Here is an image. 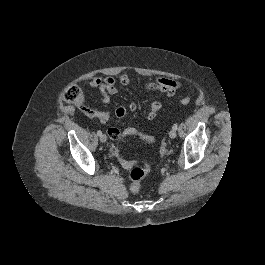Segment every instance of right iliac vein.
<instances>
[{"label":"right iliac vein","mask_w":265,"mask_h":265,"mask_svg":"<svg viewBox=\"0 0 265 265\" xmlns=\"http://www.w3.org/2000/svg\"><path fill=\"white\" fill-rule=\"evenodd\" d=\"M100 141H101L102 143H105V142L107 141V137H106V135H101V136H100Z\"/></svg>","instance_id":"1"}]
</instances>
